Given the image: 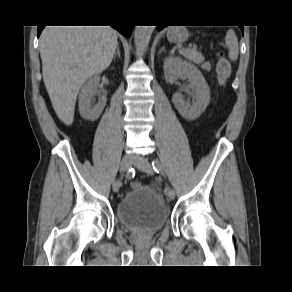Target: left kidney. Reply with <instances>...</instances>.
Segmentation results:
<instances>
[{
  "mask_svg": "<svg viewBox=\"0 0 292 292\" xmlns=\"http://www.w3.org/2000/svg\"><path fill=\"white\" fill-rule=\"evenodd\" d=\"M164 76L167 82L174 83L181 75L188 78L190 88L195 93L192 104L186 102L181 93H175L172 101L182 117L186 120L197 119L210 102V88L199 69L180 57H168L164 61Z\"/></svg>",
  "mask_w": 292,
  "mask_h": 292,
  "instance_id": "left-kidney-1",
  "label": "left kidney"
}]
</instances>
